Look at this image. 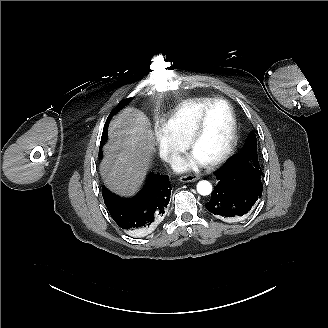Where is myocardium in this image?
<instances>
[{
  "mask_svg": "<svg viewBox=\"0 0 328 328\" xmlns=\"http://www.w3.org/2000/svg\"><path fill=\"white\" fill-rule=\"evenodd\" d=\"M218 103H224L229 108L230 115H231V135H230V139H229L228 145L225 148V150L219 156H217L216 158L207 162L211 166H216V165H219V164L223 163L224 161H226L234 152L236 144H237L238 123H237L236 112H235V109H234L233 105L231 104V102L222 97L213 98L208 104H206L200 110V112L196 116L195 121H194V123L189 131V134L187 136V139H186V146L189 149H192L196 139L198 138V136L200 135V133L203 129V126L205 123V118H206L208 111L214 105H216Z\"/></svg>",
  "mask_w": 328,
  "mask_h": 328,
  "instance_id": "myocardium-1",
  "label": "myocardium"
}]
</instances>
